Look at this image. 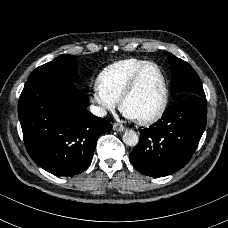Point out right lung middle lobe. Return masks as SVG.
<instances>
[{
	"label": "right lung middle lobe",
	"instance_id": "dd1d6c3e",
	"mask_svg": "<svg viewBox=\"0 0 228 228\" xmlns=\"http://www.w3.org/2000/svg\"><path fill=\"white\" fill-rule=\"evenodd\" d=\"M46 77H66L75 82L77 77L76 57L73 55H62L36 68L29 76L28 81Z\"/></svg>",
	"mask_w": 228,
	"mask_h": 228
}]
</instances>
